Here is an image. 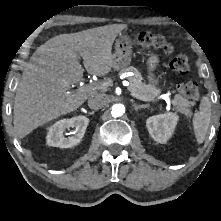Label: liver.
Masks as SVG:
<instances>
[{
    "label": "liver",
    "instance_id": "obj_1",
    "mask_svg": "<svg viewBox=\"0 0 221 221\" xmlns=\"http://www.w3.org/2000/svg\"><path fill=\"white\" fill-rule=\"evenodd\" d=\"M122 24H112L55 36L38 47L24 69L14 102V128L19 138L78 109L97 91L79 92L71 86L86 71L105 76L113 68L112 45Z\"/></svg>",
    "mask_w": 221,
    "mask_h": 221
}]
</instances>
